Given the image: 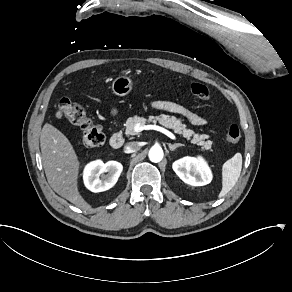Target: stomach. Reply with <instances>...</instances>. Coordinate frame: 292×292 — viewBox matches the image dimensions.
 Here are the masks:
<instances>
[{"label": "stomach", "instance_id": "obj_1", "mask_svg": "<svg viewBox=\"0 0 292 292\" xmlns=\"http://www.w3.org/2000/svg\"><path fill=\"white\" fill-rule=\"evenodd\" d=\"M132 90V81L127 76H119L112 82V91L118 96H125ZM117 109L113 108L111 114L117 115Z\"/></svg>", "mask_w": 292, "mask_h": 292}]
</instances>
